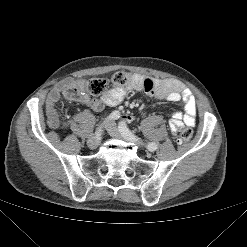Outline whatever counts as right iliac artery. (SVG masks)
I'll return each mask as SVG.
<instances>
[{"mask_svg": "<svg viewBox=\"0 0 247 247\" xmlns=\"http://www.w3.org/2000/svg\"><path fill=\"white\" fill-rule=\"evenodd\" d=\"M120 117V112L119 111H113L106 119H105V121H109V120H116V119H118ZM104 121V122H105ZM100 131H101V127H98L97 128V130H96V132H95V135L96 136H100ZM96 145H101V140H96Z\"/></svg>", "mask_w": 247, "mask_h": 247, "instance_id": "1", "label": "right iliac artery"}]
</instances>
